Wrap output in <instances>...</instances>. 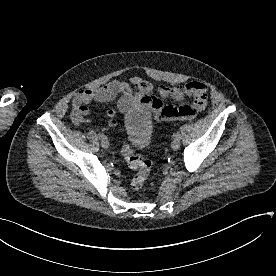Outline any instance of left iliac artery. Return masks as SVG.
I'll return each mask as SVG.
<instances>
[{
  "instance_id": "left-iliac-artery-1",
  "label": "left iliac artery",
  "mask_w": 276,
  "mask_h": 276,
  "mask_svg": "<svg viewBox=\"0 0 276 276\" xmlns=\"http://www.w3.org/2000/svg\"><path fill=\"white\" fill-rule=\"evenodd\" d=\"M174 138L181 139V134L179 132H177L176 134H174Z\"/></svg>"
}]
</instances>
